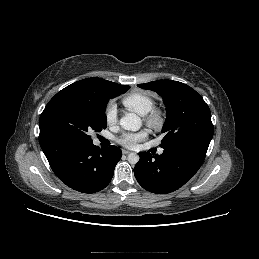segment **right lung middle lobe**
I'll use <instances>...</instances> for the list:
<instances>
[{
	"mask_svg": "<svg viewBox=\"0 0 259 259\" xmlns=\"http://www.w3.org/2000/svg\"><path fill=\"white\" fill-rule=\"evenodd\" d=\"M130 87L115 84L98 97L61 90L41 114L39 142L43 152L63 143H93L90 133L107 127L105 114L110 98Z\"/></svg>",
	"mask_w": 259,
	"mask_h": 259,
	"instance_id": "1",
	"label": "right lung middle lobe"
}]
</instances>
